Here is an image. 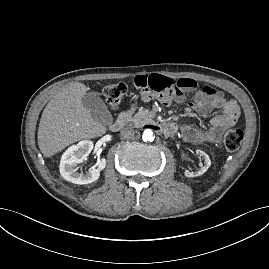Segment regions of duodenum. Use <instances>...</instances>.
I'll return each instance as SVG.
<instances>
[{"instance_id": "410a0bca", "label": "duodenum", "mask_w": 269, "mask_h": 269, "mask_svg": "<svg viewBox=\"0 0 269 269\" xmlns=\"http://www.w3.org/2000/svg\"><path fill=\"white\" fill-rule=\"evenodd\" d=\"M131 110L132 109L122 111L117 115L115 121L110 126L111 131L117 132L123 128L126 122V118ZM158 129L165 134H170L173 132L174 126L171 123H166L160 126Z\"/></svg>"}]
</instances>
